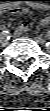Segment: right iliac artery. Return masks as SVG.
<instances>
[{"label":"right iliac artery","mask_w":50,"mask_h":111,"mask_svg":"<svg viewBox=\"0 0 50 111\" xmlns=\"http://www.w3.org/2000/svg\"><path fill=\"white\" fill-rule=\"evenodd\" d=\"M2 34L5 35V37H6V36H8V31H3Z\"/></svg>","instance_id":"82829eb1"}]
</instances>
